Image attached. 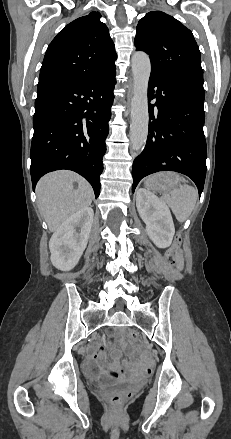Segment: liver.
Instances as JSON below:
<instances>
[{
  "label": "liver",
  "mask_w": 231,
  "mask_h": 439,
  "mask_svg": "<svg viewBox=\"0 0 231 439\" xmlns=\"http://www.w3.org/2000/svg\"><path fill=\"white\" fill-rule=\"evenodd\" d=\"M36 194L39 210L51 232L73 214L87 208L93 199L91 185L72 171H56L43 176L36 186Z\"/></svg>",
  "instance_id": "liver-1"
}]
</instances>
